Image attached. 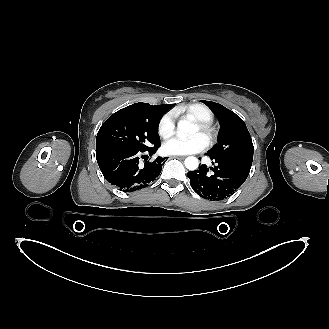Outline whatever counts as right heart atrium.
<instances>
[{"mask_svg": "<svg viewBox=\"0 0 329 329\" xmlns=\"http://www.w3.org/2000/svg\"><path fill=\"white\" fill-rule=\"evenodd\" d=\"M175 131V114L170 111L165 113L159 120L158 133L162 138H169Z\"/></svg>", "mask_w": 329, "mask_h": 329, "instance_id": "right-heart-atrium-1", "label": "right heart atrium"}]
</instances>
